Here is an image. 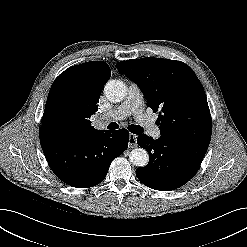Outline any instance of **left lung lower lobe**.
Here are the masks:
<instances>
[{
	"instance_id": "0a47b994",
	"label": "left lung lower lobe",
	"mask_w": 247,
	"mask_h": 247,
	"mask_svg": "<svg viewBox=\"0 0 247 247\" xmlns=\"http://www.w3.org/2000/svg\"><path fill=\"white\" fill-rule=\"evenodd\" d=\"M149 152V163L136 169L137 178L146 186L169 191L186 184L198 171L207 146L161 136L153 140L145 134L137 138Z\"/></svg>"
}]
</instances>
